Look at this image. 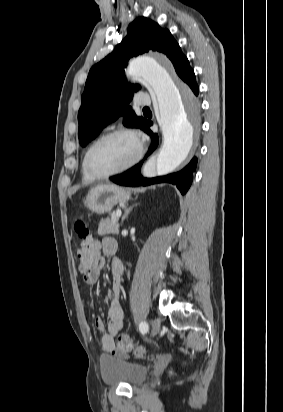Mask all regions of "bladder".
<instances>
[{
    "mask_svg": "<svg viewBox=\"0 0 283 412\" xmlns=\"http://www.w3.org/2000/svg\"><path fill=\"white\" fill-rule=\"evenodd\" d=\"M100 375L102 381L109 386L135 387L146 381L148 369L128 360L105 357L100 360Z\"/></svg>",
    "mask_w": 283,
    "mask_h": 412,
    "instance_id": "1",
    "label": "bladder"
}]
</instances>
